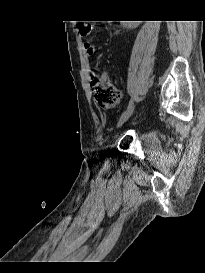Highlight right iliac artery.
<instances>
[{"instance_id": "82829eb1", "label": "right iliac artery", "mask_w": 205, "mask_h": 273, "mask_svg": "<svg viewBox=\"0 0 205 273\" xmlns=\"http://www.w3.org/2000/svg\"><path fill=\"white\" fill-rule=\"evenodd\" d=\"M133 106V100L131 99L130 101H129V104H128V106H127V109H129L130 107H132Z\"/></svg>"}]
</instances>
